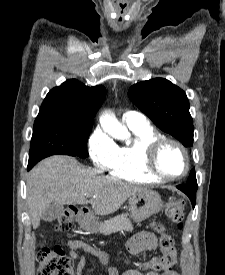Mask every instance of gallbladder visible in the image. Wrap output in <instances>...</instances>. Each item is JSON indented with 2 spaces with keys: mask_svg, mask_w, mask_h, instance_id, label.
<instances>
[{
  "mask_svg": "<svg viewBox=\"0 0 225 275\" xmlns=\"http://www.w3.org/2000/svg\"><path fill=\"white\" fill-rule=\"evenodd\" d=\"M64 207L62 204L51 203L43 212L42 220L48 222L56 219L63 211Z\"/></svg>",
  "mask_w": 225,
  "mask_h": 275,
  "instance_id": "obj_1",
  "label": "gallbladder"
}]
</instances>
